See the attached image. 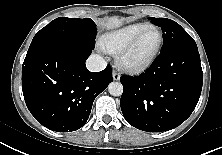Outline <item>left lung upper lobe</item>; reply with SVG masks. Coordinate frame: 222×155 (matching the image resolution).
Instances as JSON below:
<instances>
[{"label": "left lung upper lobe", "mask_w": 222, "mask_h": 155, "mask_svg": "<svg viewBox=\"0 0 222 155\" xmlns=\"http://www.w3.org/2000/svg\"><path fill=\"white\" fill-rule=\"evenodd\" d=\"M149 20L162 28L163 46L160 52L177 47H196L195 41L190 35L175 21L167 18H153Z\"/></svg>", "instance_id": "5c2ea615"}]
</instances>
